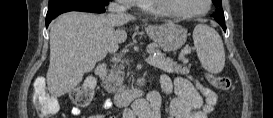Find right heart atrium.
<instances>
[{
    "label": "right heart atrium",
    "mask_w": 273,
    "mask_h": 118,
    "mask_svg": "<svg viewBox=\"0 0 273 118\" xmlns=\"http://www.w3.org/2000/svg\"><path fill=\"white\" fill-rule=\"evenodd\" d=\"M119 4L123 9H131L136 6V0H119Z\"/></svg>",
    "instance_id": "obj_1"
}]
</instances>
